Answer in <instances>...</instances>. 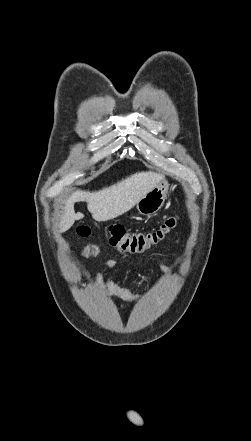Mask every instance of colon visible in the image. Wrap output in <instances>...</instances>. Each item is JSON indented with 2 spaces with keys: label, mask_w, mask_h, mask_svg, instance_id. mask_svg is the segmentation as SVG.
Returning a JSON list of instances; mask_svg holds the SVG:
<instances>
[{
  "label": "colon",
  "mask_w": 251,
  "mask_h": 441,
  "mask_svg": "<svg viewBox=\"0 0 251 441\" xmlns=\"http://www.w3.org/2000/svg\"><path fill=\"white\" fill-rule=\"evenodd\" d=\"M178 217L166 218L158 228L150 231H129L124 226L112 224L107 229V239L111 246L121 252L141 253L161 243L177 227ZM80 236L90 235V227L80 225Z\"/></svg>",
  "instance_id": "1"
}]
</instances>
